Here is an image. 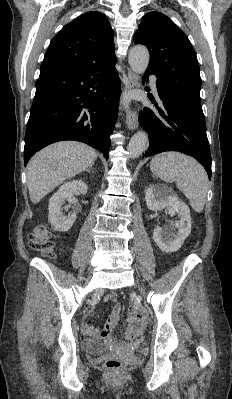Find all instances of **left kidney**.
I'll use <instances>...</instances> for the list:
<instances>
[{
	"instance_id": "5707ae66",
	"label": "left kidney",
	"mask_w": 232,
	"mask_h": 399,
	"mask_svg": "<svg viewBox=\"0 0 232 399\" xmlns=\"http://www.w3.org/2000/svg\"><path fill=\"white\" fill-rule=\"evenodd\" d=\"M145 198L147 207L152 211L166 207L169 213H178L179 219H176L174 227L167 225L165 229H162L160 225H155L153 231V239L162 251H167V253L177 251L191 231V215L188 205L179 200L177 196L170 194V190H166L160 184H154L147 188Z\"/></svg>"
}]
</instances>
